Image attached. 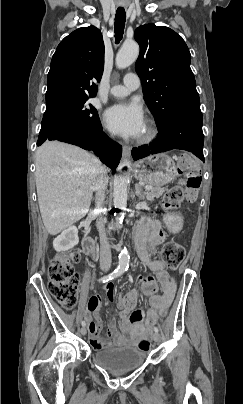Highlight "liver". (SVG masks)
<instances>
[{
  "label": "liver",
  "instance_id": "liver-1",
  "mask_svg": "<svg viewBox=\"0 0 243 404\" xmlns=\"http://www.w3.org/2000/svg\"><path fill=\"white\" fill-rule=\"evenodd\" d=\"M35 166L43 224L48 234L56 236L87 214L101 162L77 146L45 142L36 150Z\"/></svg>",
  "mask_w": 243,
  "mask_h": 404
}]
</instances>
